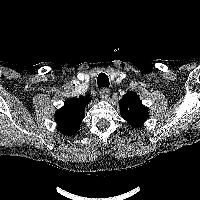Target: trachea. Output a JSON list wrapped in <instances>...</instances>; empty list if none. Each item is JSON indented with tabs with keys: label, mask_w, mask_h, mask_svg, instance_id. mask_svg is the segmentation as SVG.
Wrapping results in <instances>:
<instances>
[{
	"label": "trachea",
	"mask_w": 200,
	"mask_h": 200,
	"mask_svg": "<svg viewBox=\"0 0 200 200\" xmlns=\"http://www.w3.org/2000/svg\"><path fill=\"white\" fill-rule=\"evenodd\" d=\"M97 84L99 88L109 87V78L105 73H100L97 78Z\"/></svg>",
	"instance_id": "3493384b"
}]
</instances>
